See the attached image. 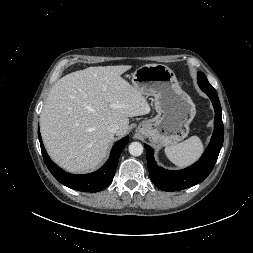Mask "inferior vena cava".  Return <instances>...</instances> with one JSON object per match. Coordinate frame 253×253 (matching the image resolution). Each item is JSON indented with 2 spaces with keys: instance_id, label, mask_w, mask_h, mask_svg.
I'll use <instances>...</instances> for the list:
<instances>
[{
  "instance_id": "1",
  "label": "inferior vena cava",
  "mask_w": 253,
  "mask_h": 253,
  "mask_svg": "<svg viewBox=\"0 0 253 253\" xmlns=\"http://www.w3.org/2000/svg\"><path fill=\"white\" fill-rule=\"evenodd\" d=\"M108 131L112 134H117L118 131H119V125L117 124H111L109 127H108Z\"/></svg>"
}]
</instances>
